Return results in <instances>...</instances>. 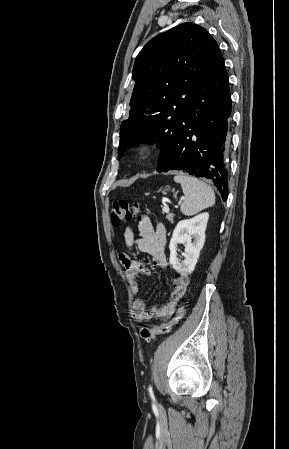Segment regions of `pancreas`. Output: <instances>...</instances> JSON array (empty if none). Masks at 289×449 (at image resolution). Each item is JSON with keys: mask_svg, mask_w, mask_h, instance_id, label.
<instances>
[{"mask_svg": "<svg viewBox=\"0 0 289 449\" xmlns=\"http://www.w3.org/2000/svg\"><path fill=\"white\" fill-rule=\"evenodd\" d=\"M167 220L170 222H174V214L173 213H168L166 216Z\"/></svg>", "mask_w": 289, "mask_h": 449, "instance_id": "cf45deb5", "label": "pancreas"}]
</instances>
